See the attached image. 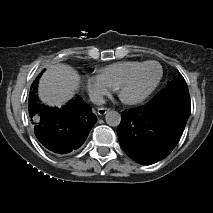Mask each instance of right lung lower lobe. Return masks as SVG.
<instances>
[{
	"instance_id": "obj_1",
	"label": "right lung lower lobe",
	"mask_w": 213,
	"mask_h": 213,
	"mask_svg": "<svg viewBox=\"0 0 213 213\" xmlns=\"http://www.w3.org/2000/svg\"><path fill=\"white\" fill-rule=\"evenodd\" d=\"M38 78L28 101L29 116L38 140L55 153L65 154L79 148L86 140L97 118L81 98L62 108L47 107L36 95Z\"/></svg>"
}]
</instances>
